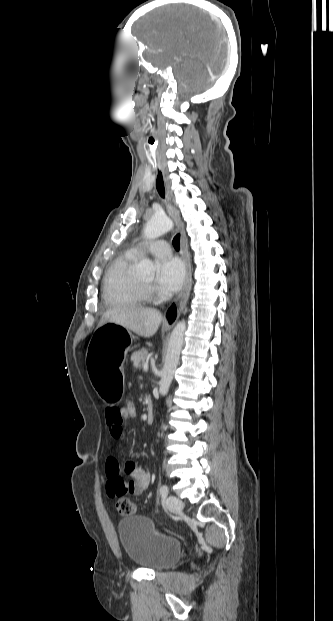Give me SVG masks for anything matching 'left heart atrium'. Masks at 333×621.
<instances>
[{
    "mask_svg": "<svg viewBox=\"0 0 333 621\" xmlns=\"http://www.w3.org/2000/svg\"><path fill=\"white\" fill-rule=\"evenodd\" d=\"M185 281L183 263L175 258L163 260L157 267L156 285L167 293L178 291Z\"/></svg>",
    "mask_w": 333,
    "mask_h": 621,
    "instance_id": "left-heart-atrium-1",
    "label": "left heart atrium"
}]
</instances>
